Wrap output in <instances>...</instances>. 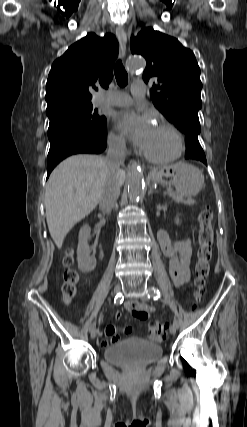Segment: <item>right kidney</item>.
I'll return each mask as SVG.
<instances>
[{
	"label": "right kidney",
	"mask_w": 247,
	"mask_h": 427,
	"mask_svg": "<svg viewBox=\"0 0 247 427\" xmlns=\"http://www.w3.org/2000/svg\"><path fill=\"white\" fill-rule=\"evenodd\" d=\"M91 228L89 225L85 224L81 227L79 231V241L77 247V262L78 269L81 272L89 273L96 267V259L93 256H90V247L88 244V239L90 236Z\"/></svg>",
	"instance_id": "ca27d5eb"
}]
</instances>
